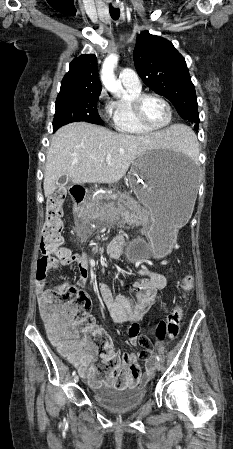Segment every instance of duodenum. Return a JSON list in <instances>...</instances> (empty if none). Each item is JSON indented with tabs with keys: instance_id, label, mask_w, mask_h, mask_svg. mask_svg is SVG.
Returning <instances> with one entry per match:
<instances>
[{
	"instance_id": "duodenum-1",
	"label": "duodenum",
	"mask_w": 233,
	"mask_h": 449,
	"mask_svg": "<svg viewBox=\"0 0 233 449\" xmlns=\"http://www.w3.org/2000/svg\"><path fill=\"white\" fill-rule=\"evenodd\" d=\"M70 194L73 195V204L78 208L84 204L87 198L88 192L86 186H71ZM123 248V239L121 237H115L109 246V251L113 254L119 253Z\"/></svg>"
}]
</instances>
